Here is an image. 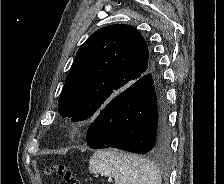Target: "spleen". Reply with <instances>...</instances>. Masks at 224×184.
<instances>
[{
  "instance_id": "spleen-1",
  "label": "spleen",
  "mask_w": 224,
  "mask_h": 184,
  "mask_svg": "<svg viewBox=\"0 0 224 184\" xmlns=\"http://www.w3.org/2000/svg\"><path fill=\"white\" fill-rule=\"evenodd\" d=\"M89 171L113 177L115 184H161L157 167L139 156L117 150L96 151L89 161Z\"/></svg>"
}]
</instances>
